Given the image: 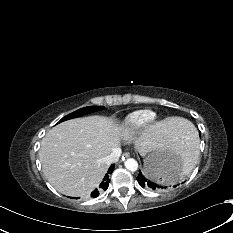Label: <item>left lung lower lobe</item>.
I'll list each match as a JSON object with an SVG mask.
<instances>
[{"mask_svg":"<svg viewBox=\"0 0 233 233\" xmlns=\"http://www.w3.org/2000/svg\"><path fill=\"white\" fill-rule=\"evenodd\" d=\"M173 168H174L173 162L156 163L153 169L145 170L144 173L139 172L137 176V181L139 185L143 188L152 189V190L166 189L168 186H166L165 183L170 181L157 182L152 178L151 175L155 170H162L168 172V171H172Z\"/></svg>","mask_w":233,"mask_h":233,"instance_id":"left-lung-lower-lobe-1","label":"left lung lower lobe"}]
</instances>
